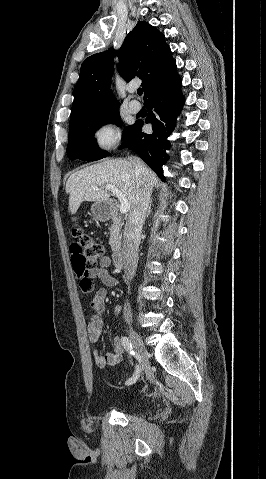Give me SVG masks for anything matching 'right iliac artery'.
Returning <instances> with one entry per match:
<instances>
[{"instance_id": "right-iliac-artery-1", "label": "right iliac artery", "mask_w": 266, "mask_h": 479, "mask_svg": "<svg viewBox=\"0 0 266 479\" xmlns=\"http://www.w3.org/2000/svg\"><path fill=\"white\" fill-rule=\"evenodd\" d=\"M121 342H122V345L123 347L125 348V350L130 354V355H134V350H133V347H132V343L131 341L129 340L128 337L124 336L121 338ZM140 373H141V370L139 369L138 366H136V372L135 374L129 378L127 381H126V385H131L133 383H135L137 381V379L139 378L140 376Z\"/></svg>"}]
</instances>
